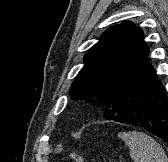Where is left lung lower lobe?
I'll return each mask as SVG.
<instances>
[{
	"mask_svg": "<svg viewBox=\"0 0 168 162\" xmlns=\"http://www.w3.org/2000/svg\"><path fill=\"white\" fill-rule=\"evenodd\" d=\"M103 117L140 126L168 143V98L150 63L114 90Z\"/></svg>",
	"mask_w": 168,
	"mask_h": 162,
	"instance_id": "left-lung-lower-lobe-1",
	"label": "left lung lower lobe"
}]
</instances>
